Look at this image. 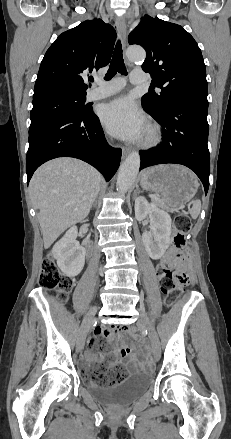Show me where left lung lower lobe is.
Instances as JSON below:
<instances>
[{
    "mask_svg": "<svg viewBox=\"0 0 231 439\" xmlns=\"http://www.w3.org/2000/svg\"><path fill=\"white\" fill-rule=\"evenodd\" d=\"M146 112L162 126L163 134L158 147L140 151V169L164 163L185 165L200 178L206 194L210 174L208 100L184 96L168 102L159 112Z\"/></svg>",
    "mask_w": 231,
    "mask_h": 439,
    "instance_id": "1",
    "label": "left lung lower lobe"
}]
</instances>
